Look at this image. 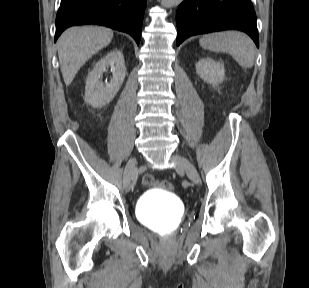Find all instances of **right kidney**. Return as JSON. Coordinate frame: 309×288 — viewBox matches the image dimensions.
I'll return each instance as SVG.
<instances>
[{
	"mask_svg": "<svg viewBox=\"0 0 309 288\" xmlns=\"http://www.w3.org/2000/svg\"><path fill=\"white\" fill-rule=\"evenodd\" d=\"M109 66L113 68V77L110 83L103 85L101 77ZM125 75L126 67L122 52L117 49L109 52L95 64L86 78L85 101L95 108L110 103L119 91Z\"/></svg>",
	"mask_w": 309,
	"mask_h": 288,
	"instance_id": "1",
	"label": "right kidney"
}]
</instances>
